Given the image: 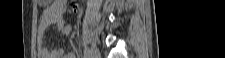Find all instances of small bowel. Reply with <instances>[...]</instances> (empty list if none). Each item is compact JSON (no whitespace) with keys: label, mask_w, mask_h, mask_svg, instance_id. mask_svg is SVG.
Wrapping results in <instances>:
<instances>
[{"label":"small bowel","mask_w":225,"mask_h":58,"mask_svg":"<svg viewBox=\"0 0 225 58\" xmlns=\"http://www.w3.org/2000/svg\"><path fill=\"white\" fill-rule=\"evenodd\" d=\"M66 11V2L64 0H55L51 2L42 12L38 26V55L39 58H75V53L64 51L60 48H49L45 46V37L48 29L51 26H57L62 35H67L71 32V25H63V15Z\"/></svg>","instance_id":"c3829d8e"}]
</instances>
